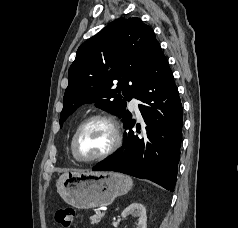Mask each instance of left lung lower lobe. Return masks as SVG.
Wrapping results in <instances>:
<instances>
[{
  "instance_id": "left-lung-lower-lobe-1",
  "label": "left lung lower lobe",
  "mask_w": 238,
  "mask_h": 228,
  "mask_svg": "<svg viewBox=\"0 0 238 228\" xmlns=\"http://www.w3.org/2000/svg\"><path fill=\"white\" fill-rule=\"evenodd\" d=\"M144 118L142 135L132 130V114L124 121V143L94 171H116L153 181L174 191L182 140V105L173 73L159 48L135 92ZM137 125V132L140 133Z\"/></svg>"
}]
</instances>
